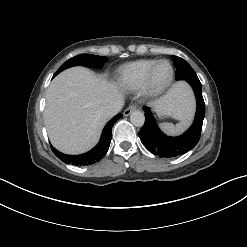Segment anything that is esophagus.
<instances>
[{
	"label": "esophagus",
	"mask_w": 247,
	"mask_h": 247,
	"mask_svg": "<svg viewBox=\"0 0 247 247\" xmlns=\"http://www.w3.org/2000/svg\"><path fill=\"white\" fill-rule=\"evenodd\" d=\"M136 109V105H130L126 110L124 111V116H128Z\"/></svg>",
	"instance_id": "34e87169"
}]
</instances>
